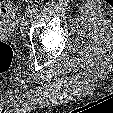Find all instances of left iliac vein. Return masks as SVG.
Wrapping results in <instances>:
<instances>
[{"instance_id":"obj_1","label":"left iliac vein","mask_w":113,"mask_h":113,"mask_svg":"<svg viewBox=\"0 0 113 113\" xmlns=\"http://www.w3.org/2000/svg\"><path fill=\"white\" fill-rule=\"evenodd\" d=\"M32 17V13L30 11H27L23 18H22V22H21V26H20V30L22 33H26L27 30H28V24H29V21Z\"/></svg>"}]
</instances>
